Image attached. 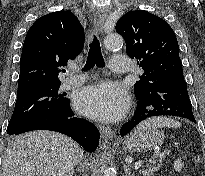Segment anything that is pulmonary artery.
Here are the masks:
<instances>
[{
  "instance_id": "e3ab8cb5",
  "label": "pulmonary artery",
  "mask_w": 205,
  "mask_h": 176,
  "mask_svg": "<svg viewBox=\"0 0 205 176\" xmlns=\"http://www.w3.org/2000/svg\"><path fill=\"white\" fill-rule=\"evenodd\" d=\"M112 70L118 74L126 73L130 68V59L127 55H114L111 58ZM86 81L85 75H75L64 81L63 87L66 89L77 87Z\"/></svg>"
}]
</instances>
